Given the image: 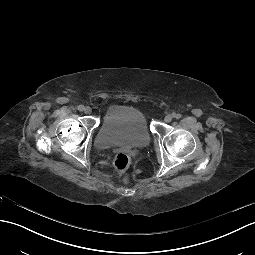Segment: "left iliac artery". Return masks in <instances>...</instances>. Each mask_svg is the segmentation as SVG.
Listing matches in <instances>:
<instances>
[{"label":"left iliac artery","instance_id":"44dca946","mask_svg":"<svg viewBox=\"0 0 255 255\" xmlns=\"http://www.w3.org/2000/svg\"><path fill=\"white\" fill-rule=\"evenodd\" d=\"M173 117L176 118V119H179V118H181V115H180V114L174 113V114H173Z\"/></svg>","mask_w":255,"mask_h":255}]
</instances>
